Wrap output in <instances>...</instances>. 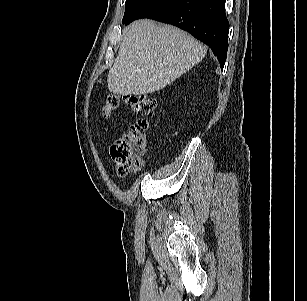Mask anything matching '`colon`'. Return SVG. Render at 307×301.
<instances>
[{
	"label": "colon",
	"mask_w": 307,
	"mask_h": 301,
	"mask_svg": "<svg viewBox=\"0 0 307 301\" xmlns=\"http://www.w3.org/2000/svg\"><path fill=\"white\" fill-rule=\"evenodd\" d=\"M122 99L132 111L143 117L150 116L156 107V100L148 94H130L124 97L110 94L105 101L104 115L110 116L119 107ZM147 128V120L141 118L115 138L111 146V156L118 175H134L141 171L147 148Z\"/></svg>",
	"instance_id": "5ec220e1"
}]
</instances>
